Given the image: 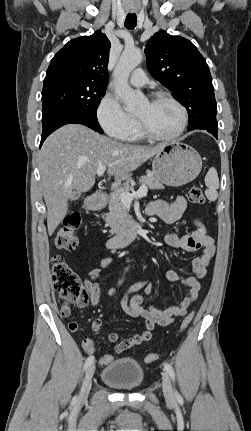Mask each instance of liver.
Masks as SVG:
<instances>
[{
	"mask_svg": "<svg viewBox=\"0 0 251 431\" xmlns=\"http://www.w3.org/2000/svg\"><path fill=\"white\" fill-rule=\"evenodd\" d=\"M164 146L121 143L80 124H67L52 133L43 143L38 161L49 235L65 218L75 191L87 192L94 186L99 167H108V175L122 181Z\"/></svg>",
	"mask_w": 251,
	"mask_h": 431,
	"instance_id": "1",
	"label": "liver"
}]
</instances>
